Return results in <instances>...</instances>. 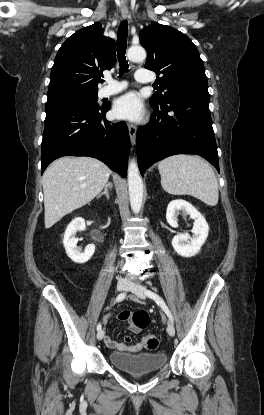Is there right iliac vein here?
Segmentation results:
<instances>
[{
    "mask_svg": "<svg viewBox=\"0 0 264 415\" xmlns=\"http://www.w3.org/2000/svg\"><path fill=\"white\" fill-rule=\"evenodd\" d=\"M128 281L127 280H124V279H122V280H119L118 281V283H117V290L118 291H123V290H125L127 287H128ZM104 334H105V332H104V330H99L98 331V333H97V339L98 340H102L103 339V337H104Z\"/></svg>",
    "mask_w": 264,
    "mask_h": 415,
    "instance_id": "63e3f726",
    "label": "right iliac vein"
}]
</instances>
